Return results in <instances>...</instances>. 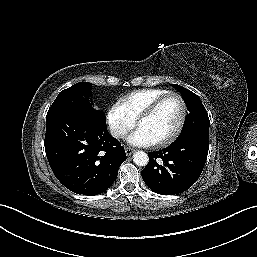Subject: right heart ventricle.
<instances>
[{
    "instance_id": "1",
    "label": "right heart ventricle",
    "mask_w": 257,
    "mask_h": 257,
    "mask_svg": "<svg viewBox=\"0 0 257 257\" xmlns=\"http://www.w3.org/2000/svg\"><path fill=\"white\" fill-rule=\"evenodd\" d=\"M170 91L162 88H145L132 91L122 97L121 103L128 113L137 119L139 115L147 109L155 100L169 93Z\"/></svg>"
}]
</instances>
